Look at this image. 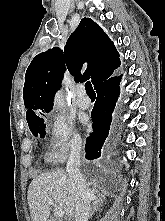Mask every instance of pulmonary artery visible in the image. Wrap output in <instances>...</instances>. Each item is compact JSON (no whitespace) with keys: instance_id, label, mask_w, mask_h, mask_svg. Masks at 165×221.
Masks as SVG:
<instances>
[{"instance_id":"1","label":"pulmonary artery","mask_w":165,"mask_h":221,"mask_svg":"<svg viewBox=\"0 0 165 221\" xmlns=\"http://www.w3.org/2000/svg\"><path fill=\"white\" fill-rule=\"evenodd\" d=\"M76 104L80 109L84 110L90 107V99L86 96V92L83 86L78 88V98Z\"/></svg>"}]
</instances>
